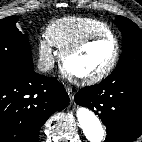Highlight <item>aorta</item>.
<instances>
[{"label":"aorta","mask_w":142,"mask_h":142,"mask_svg":"<svg viewBox=\"0 0 142 142\" xmlns=\"http://www.w3.org/2000/svg\"><path fill=\"white\" fill-rule=\"evenodd\" d=\"M78 123L90 142H101L104 129L98 117L87 107H79L76 111Z\"/></svg>","instance_id":"762f6f07"}]
</instances>
